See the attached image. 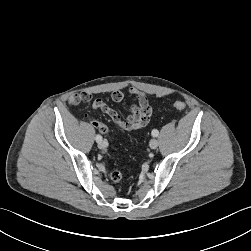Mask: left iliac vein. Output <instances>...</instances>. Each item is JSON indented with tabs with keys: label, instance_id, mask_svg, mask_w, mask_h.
Returning a JSON list of instances; mask_svg holds the SVG:
<instances>
[{
	"label": "left iliac vein",
	"instance_id": "obj_1",
	"mask_svg": "<svg viewBox=\"0 0 251 251\" xmlns=\"http://www.w3.org/2000/svg\"><path fill=\"white\" fill-rule=\"evenodd\" d=\"M149 146L150 148L152 149H156L158 147V141L156 139H152L150 142H149Z\"/></svg>",
	"mask_w": 251,
	"mask_h": 251
}]
</instances>
